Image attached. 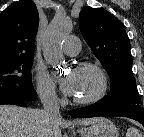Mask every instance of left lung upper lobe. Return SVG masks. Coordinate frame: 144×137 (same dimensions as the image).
Returning a JSON list of instances; mask_svg holds the SVG:
<instances>
[{"mask_svg":"<svg viewBox=\"0 0 144 137\" xmlns=\"http://www.w3.org/2000/svg\"><path fill=\"white\" fill-rule=\"evenodd\" d=\"M79 23L85 41L111 80L110 94L102 101L107 105H139V94L131 70L130 42L124 25L105 9L89 6L80 12Z\"/></svg>","mask_w":144,"mask_h":137,"instance_id":"left-lung-upper-lobe-1","label":"left lung upper lobe"}]
</instances>
